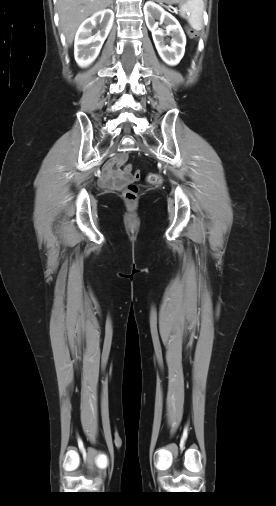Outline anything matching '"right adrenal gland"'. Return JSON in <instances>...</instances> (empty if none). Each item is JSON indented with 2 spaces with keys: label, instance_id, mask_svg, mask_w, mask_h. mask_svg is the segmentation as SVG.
<instances>
[{
  "label": "right adrenal gland",
  "instance_id": "1",
  "mask_svg": "<svg viewBox=\"0 0 276 506\" xmlns=\"http://www.w3.org/2000/svg\"><path fill=\"white\" fill-rule=\"evenodd\" d=\"M111 8H113V3H111Z\"/></svg>",
  "mask_w": 276,
  "mask_h": 506
}]
</instances>
